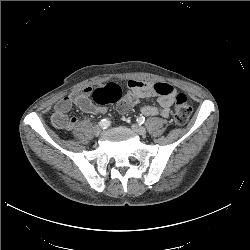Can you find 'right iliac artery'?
I'll return each instance as SVG.
<instances>
[{
    "instance_id": "right-iliac-artery-1",
    "label": "right iliac artery",
    "mask_w": 250,
    "mask_h": 250,
    "mask_svg": "<svg viewBox=\"0 0 250 250\" xmlns=\"http://www.w3.org/2000/svg\"><path fill=\"white\" fill-rule=\"evenodd\" d=\"M99 125L102 127V128H107L109 125H110V121L107 120V119H102L100 122H99Z\"/></svg>"
}]
</instances>
